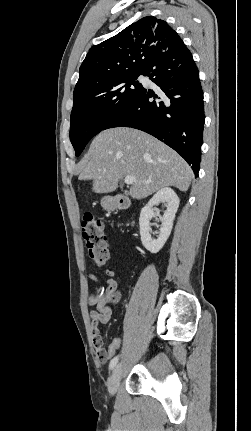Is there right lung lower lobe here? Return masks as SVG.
I'll list each match as a JSON object with an SVG mask.
<instances>
[{
  "label": "right lung lower lobe",
  "instance_id": "obj_1",
  "mask_svg": "<svg viewBox=\"0 0 251 431\" xmlns=\"http://www.w3.org/2000/svg\"><path fill=\"white\" fill-rule=\"evenodd\" d=\"M145 76L159 90L142 88L106 125L145 131L177 151L198 176L205 121L199 72L185 45L166 50Z\"/></svg>",
  "mask_w": 251,
  "mask_h": 431
}]
</instances>
